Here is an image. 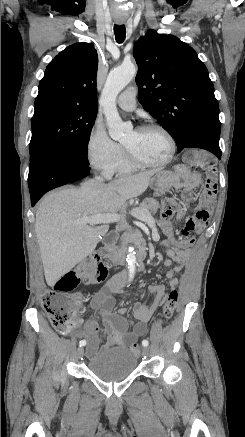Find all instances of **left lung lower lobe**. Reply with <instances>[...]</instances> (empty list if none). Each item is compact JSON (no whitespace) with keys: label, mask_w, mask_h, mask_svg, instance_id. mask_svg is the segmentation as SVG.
I'll return each mask as SVG.
<instances>
[{"label":"left lung lower lobe","mask_w":245,"mask_h":437,"mask_svg":"<svg viewBox=\"0 0 245 437\" xmlns=\"http://www.w3.org/2000/svg\"><path fill=\"white\" fill-rule=\"evenodd\" d=\"M185 148L205 149L215 154L219 159L221 158L219 138L209 133H203L193 136L187 141V143L185 144Z\"/></svg>","instance_id":"left-lung-lower-lobe-1"}]
</instances>
